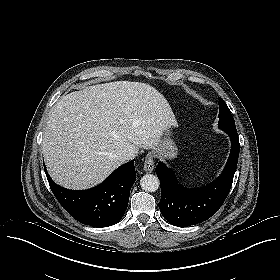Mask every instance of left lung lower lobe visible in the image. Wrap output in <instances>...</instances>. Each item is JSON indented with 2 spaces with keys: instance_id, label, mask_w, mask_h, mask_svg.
Instances as JSON below:
<instances>
[{
  "instance_id": "left-lung-lower-lobe-1",
  "label": "left lung lower lobe",
  "mask_w": 280,
  "mask_h": 280,
  "mask_svg": "<svg viewBox=\"0 0 280 280\" xmlns=\"http://www.w3.org/2000/svg\"><path fill=\"white\" fill-rule=\"evenodd\" d=\"M231 151L222 174L210 185L198 189L181 187L173 171L159 162L156 174L160 179L161 200L159 209L172 225L188 227L206 221L214 215L225 201L236 172L239 156V138L236 132L228 133Z\"/></svg>"
}]
</instances>
